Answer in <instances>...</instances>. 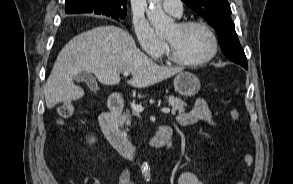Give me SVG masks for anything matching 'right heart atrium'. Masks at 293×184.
<instances>
[{
	"label": "right heart atrium",
	"mask_w": 293,
	"mask_h": 184,
	"mask_svg": "<svg viewBox=\"0 0 293 184\" xmlns=\"http://www.w3.org/2000/svg\"><path fill=\"white\" fill-rule=\"evenodd\" d=\"M133 28L141 49L154 59L161 57L166 50V44L157 37L151 26L143 20H136Z\"/></svg>",
	"instance_id": "obj_1"
}]
</instances>
